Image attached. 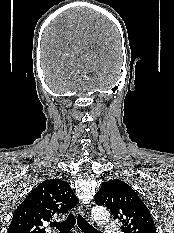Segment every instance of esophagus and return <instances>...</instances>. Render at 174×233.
I'll use <instances>...</instances> for the list:
<instances>
[{
	"label": "esophagus",
	"instance_id": "1",
	"mask_svg": "<svg viewBox=\"0 0 174 233\" xmlns=\"http://www.w3.org/2000/svg\"><path fill=\"white\" fill-rule=\"evenodd\" d=\"M79 212H80L81 216H82L86 221H88L89 223H92V220H91V219L88 217V215L85 213V211H84L82 205L79 206Z\"/></svg>",
	"mask_w": 174,
	"mask_h": 233
}]
</instances>
